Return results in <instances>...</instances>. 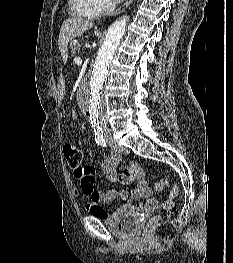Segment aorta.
<instances>
[{
	"mask_svg": "<svg viewBox=\"0 0 233 263\" xmlns=\"http://www.w3.org/2000/svg\"><path fill=\"white\" fill-rule=\"evenodd\" d=\"M128 18L114 22L108 29L104 44L99 49L88 84L80 96V106L87 112L93 126L103 121V92L108 75V67L114 53L125 34Z\"/></svg>",
	"mask_w": 233,
	"mask_h": 263,
	"instance_id": "aorta-1",
	"label": "aorta"
}]
</instances>
